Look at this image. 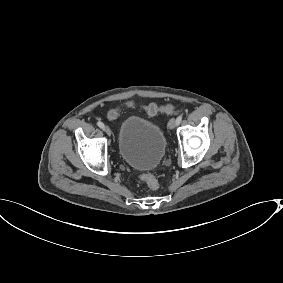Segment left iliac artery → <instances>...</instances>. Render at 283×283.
<instances>
[{"mask_svg":"<svg viewBox=\"0 0 283 283\" xmlns=\"http://www.w3.org/2000/svg\"><path fill=\"white\" fill-rule=\"evenodd\" d=\"M182 121V115H179L177 118H176V125L178 126Z\"/></svg>","mask_w":283,"mask_h":283,"instance_id":"1","label":"left iliac artery"}]
</instances>
